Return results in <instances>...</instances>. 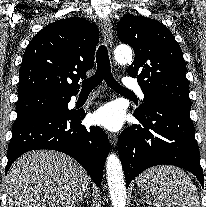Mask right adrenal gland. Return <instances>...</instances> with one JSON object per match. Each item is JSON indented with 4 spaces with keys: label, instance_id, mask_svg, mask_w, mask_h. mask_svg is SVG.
I'll list each match as a JSON object with an SVG mask.
<instances>
[{
    "label": "right adrenal gland",
    "instance_id": "obj_1",
    "mask_svg": "<svg viewBox=\"0 0 206 207\" xmlns=\"http://www.w3.org/2000/svg\"><path fill=\"white\" fill-rule=\"evenodd\" d=\"M90 188H88L87 190H86V193H85V195H84V197H90Z\"/></svg>",
    "mask_w": 206,
    "mask_h": 207
}]
</instances>
